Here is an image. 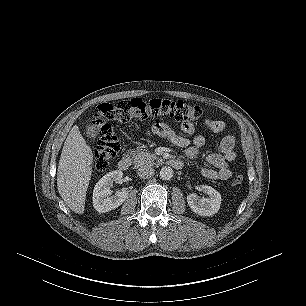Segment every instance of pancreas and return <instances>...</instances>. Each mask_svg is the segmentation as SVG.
I'll list each match as a JSON object with an SVG mask.
<instances>
[{"label":"pancreas","instance_id":"1","mask_svg":"<svg viewBox=\"0 0 306 306\" xmlns=\"http://www.w3.org/2000/svg\"><path fill=\"white\" fill-rule=\"evenodd\" d=\"M133 158V163L135 166H144V165H153L155 164L154 160L157 159L155 154H151L148 150L138 148L136 151L130 153Z\"/></svg>","mask_w":306,"mask_h":306}]
</instances>
